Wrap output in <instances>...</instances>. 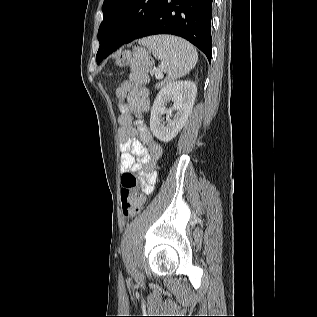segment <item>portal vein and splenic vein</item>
Wrapping results in <instances>:
<instances>
[{
	"label": "portal vein and splenic vein",
	"mask_w": 317,
	"mask_h": 317,
	"mask_svg": "<svg viewBox=\"0 0 317 317\" xmlns=\"http://www.w3.org/2000/svg\"><path fill=\"white\" fill-rule=\"evenodd\" d=\"M155 77H156L157 79H161V78L163 77V74H162L160 71H156V72H155Z\"/></svg>",
	"instance_id": "1"
}]
</instances>
